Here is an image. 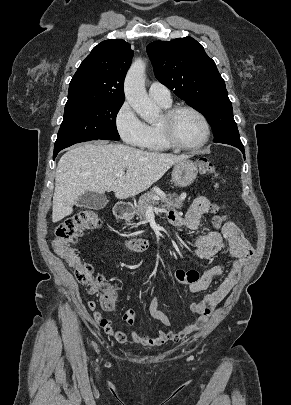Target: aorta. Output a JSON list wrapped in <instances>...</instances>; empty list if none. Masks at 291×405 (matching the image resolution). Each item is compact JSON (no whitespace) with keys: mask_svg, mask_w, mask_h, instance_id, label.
<instances>
[{"mask_svg":"<svg viewBox=\"0 0 291 405\" xmlns=\"http://www.w3.org/2000/svg\"><path fill=\"white\" fill-rule=\"evenodd\" d=\"M124 93L130 106L143 120L151 122L158 117V107L148 97L145 89V63L141 59L135 60L128 70Z\"/></svg>","mask_w":291,"mask_h":405,"instance_id":"762f6f07","label":"aorta"}]
</instances>
